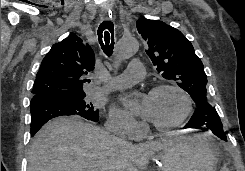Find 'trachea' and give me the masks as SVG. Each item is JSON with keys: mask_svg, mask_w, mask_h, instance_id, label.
Masks as SVG:
<instances>
[{"mask_svg": "<svg viewBox=\"0 0 245 171\" xmlns=\"http://www.w3.org/2000/svg\"><path fill=\"white\" fill-rule=\"evenodd\" d=\"M97 34L102 50L107 56H111L114 47V26L112 21L104 20L98 27Z\"/></svg>", "mask_w": 245, "mask_h": 171, "instance_id": "trachea-1", "label": "trachea"}]
</instances>
